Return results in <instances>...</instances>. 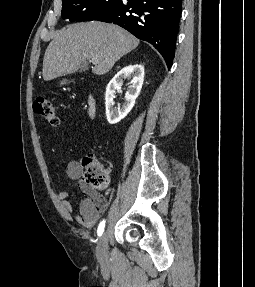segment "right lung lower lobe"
<instances>
[{"mask_svg": "<svg viewBox=\"0 0 255 287\" xmlns=\"http://www.w3.org/2000/svg\"><path fill=\"white\" fill-rule=\"evenodd\" d=\"M110 9L98 21L114 23L151 43L172 66L182 0H127Z\"/></svg>", "mask_w": 255, "mask_h": 287, "instance_id": "right-lung-lower-lobe-1", "label": "right lung lower lobe"}]
</instances>
